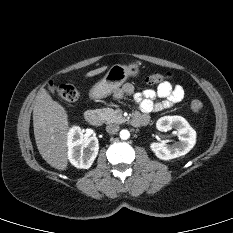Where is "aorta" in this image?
Listing matches in <instances>:
<instances>
[{"label": "aorta", "mask_w": 233, "mask_h": 233, "mask_svg": "<svg viewBox=\"0 0 233 233\" xmlns=\"http://www.w3.org/2000/svg\"><path fill=\"white\" fill-rule=\"evenodd\" d=\"M130 137V132L126 129L120 131V138L122 140H127Z\"/></svg>", "instance_id": "obj_1"}]
</instances>
